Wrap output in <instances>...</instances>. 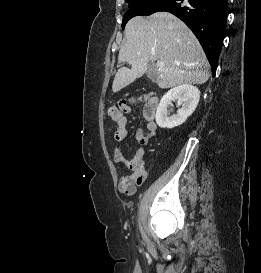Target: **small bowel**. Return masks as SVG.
<instances>
[{
  "label": "small bowel",
  "instance_id": "c3829d8e",
  "mask_svg": "<svg viewBox=\"0 0 261 273\" xmlns=\"http://www.w3.org/2000/svg\"><path fill=\"white\" fill-rule=\"evenodd\" d=\"M135 102H144L143 117L147 121V125L145 129H138L136 131L135 136L141 147L137 149L132 159H126L121 148V143L128 136V130L126 128L127 119L125 116L117 122L118 128L114 135L115 145L113 148V159L116 163L122 164L131 170L130 173L120 176L118 183L119 192L125 195H133L136 192L137 187L145 181V149L143 146L146 145L157 132V124L154 121L158 107L157 98L150 93H145L137 97Z\"/></svg>",
  "mask_w": 261,
  "mask_h": 273
}]
</instances>
